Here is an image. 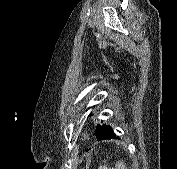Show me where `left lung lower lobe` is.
<instances>
[{
	"mask_svg": "<svg viewBox=\"0 0 177 169\" xmlns=\"http://www.w3.org/2000/svg\"><path fill=\"white\" fill-rule=\"evenodd\" d=\"M119 137L114 133L113 129L110 127L107 132L99 135L97 138L98 141L108 140V139H118Z\"/></svg>",
	"mask_w": 177,
	"mask_h": 169,
	"instance_id": "0a47b994",
	"label": "left lung lower lobe"
}]
</instances>
